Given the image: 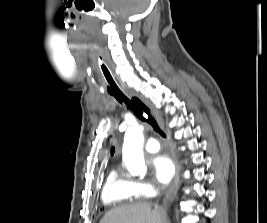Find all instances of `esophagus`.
<instances>
[{"label":"esophagus","mask_w":267,"mask_h":223,"mask_svg":"<svg viewBox=\"0 0 267 223\" xmlns=\"http://www.w3.org/2000/svg\"><path fill=\"white\" fill-rule=\"evenodd\" d=\"M151 111L154 115V117L156 118L157 122L159 123L160 127L163 129L164 128V124L162 122V120L160 119L158 113L153 109L151 108ZM176 181L172 183V185L170 186L169 190L167 191L164 199H163V203H166L170 200V198L172 197V195L175 193V190H176Z\"/></svg>","instance_id":"esophagus-1"}]
</instances>
